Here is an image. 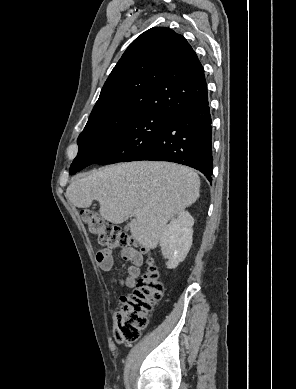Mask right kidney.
<instances>
[{
	"label": "right kidney",
	"mask_w": 296,
	"mask_h": 389,
	"mask_svg": "<svg viewBox=\"0 0 296 389\" xmlns=\"http://www.w3.org/2000/svg\"><path fill=\"white\" fill-rule=\"evenodd\" d=\"M194 219L188 211L181 210L164 228L160 239L162 254L168 259V269L183 262L192 246Z\"/></svg>",
	"instance_id": "1"
}]
</instances>
